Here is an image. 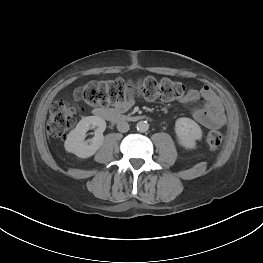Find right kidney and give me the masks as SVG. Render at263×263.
<instances>
[{"label": "right kidney", "mask_w": 263, "mask_h": 263, "mask_svg": "<svg viewBox=\"0 0 263 263\" xmlns=\"http://www.w3.org/2000/svg\"><path fill=\"white\" fill-rule=\"evenodd\" d=\"M95 135L90 141H84L86 132L95 128ZM106 122L97 116H87L81 119L76 128L70 131L64 143L65 150L80 158H88L94 155L104 141L103 132Z\"/></svg>", "instance_id": "1"}]
</instances>
